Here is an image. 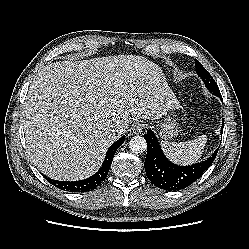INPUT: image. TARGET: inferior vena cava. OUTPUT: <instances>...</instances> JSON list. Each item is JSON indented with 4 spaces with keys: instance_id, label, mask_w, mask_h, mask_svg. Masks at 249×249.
I'll list each match as a JSON object with an SVG mask.
<instances>
[{
    "instance_id": "obj_1",
    "label": "inferior vena cava",
    "mask_w": 249,
    "mask_h": 249,
    "mask_svg": "<svg viewBox=\"0 0 249 249\" xmlns=\"http://www.w3.org/2000/svg\"><path fill=\"white\" fill-rule=\"evenodd\" d=\"M111 133H112V135H113L114 137H116V136H121V134L123 133V129L120 128V127H118V128L113 129V130L111 131Z\"/></svg>"
}]
</instances>
